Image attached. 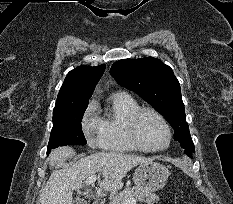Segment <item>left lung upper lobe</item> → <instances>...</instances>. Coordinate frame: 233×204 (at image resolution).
I'll return each mask as SVG.
<instances>
[{"instance_id": "left-lung-upper-lobe-1", "label": "left lung upper lobe", "mask_w": 233, "mask_h": 204, "mask_svg": "<svg viewBox=\"0 0 233 204\" xmlns=\"http://www.w3.org/2000/svg\"><path fill=\"white\" fill-rule=\"evenodd\" d=\"M110 73L121 86L136 92L169 121L175 130L174 140L186 153L195 152L180 84L168 65L153 57L123 59L112 65Z\"/></svg>"}]
</instances>
